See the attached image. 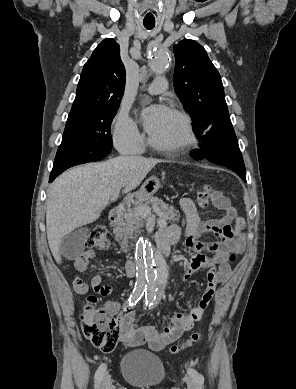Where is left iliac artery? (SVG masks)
Wrapping results in <instances>:
<instances>
[{
    "label": "left iliac artery",
    "instance_id": "obj_1",
    "mask_svg": "<svg viewBox=\"0 0 296 389\" xmlns=\"http://www.w3.org/2000/svg\"><path fill=\"white\" fill-rule=\"evenodd\" d=\"M148 295H149V292H148ZM145 298H147V291H146V295H145ZM146 303H147V300H146ZM188 374L190 375V377L193 379V381L196 383L198 389H203V377L200 373H198L195 369L193 368H188Z\"/></svg>",
    "mask_w": 296,
    "mask_h": 389
}]
</instances>
